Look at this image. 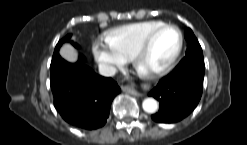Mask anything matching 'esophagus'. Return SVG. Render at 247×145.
<instances>
[{
    "label": "esophagus",
    "instance_id": "34e87169",
    "mask_svg": "<svg viewBox=\"0 0 247 145\" xmlns=\"http://www.w3.org/2000/svg\"><path fill=\"white\" fill-rule=\"evenodd\" d=\"M122 90L124 91V92H127V93H129V94H131V95H134V96H141L142 94L141 93H139L136 89H135V87L134 86H130V85H127V86H122Z\"/></svg>",
    "mask_w": 247,
    "mask_h": 145
}]
</instances>
